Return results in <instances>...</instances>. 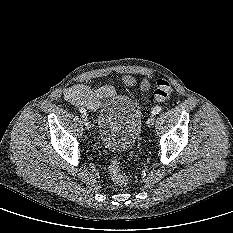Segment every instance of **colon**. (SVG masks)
Wrapping results in <instances>:
<instances>
[{
  "instance_id": "colon-1",
  "label": "colon",
  "mask_w": 233,
  "mask_h": 233,
  "mask_svg": "<svg viewBox=\"0 0 233 233\" xmlns=\"http://www.w3.org/2000/svg\"><path fill=\"white\" fill-rule=\"evenodd\" d=\"M172 92L171 84L164 79H159L156 83V89L150 102L166 101ZM109 173L113 183L117 186H124L128 183V178L122 173L120 164L117 160H113L109 165Z\"/></svg>"
}]
</instances>
